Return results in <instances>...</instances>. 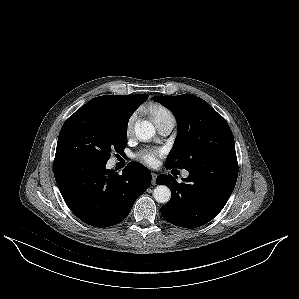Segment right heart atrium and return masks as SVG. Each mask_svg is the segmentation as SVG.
Returning <instances> with one entry per match:
<instances>
[{
	"label": "right heart atrium",
	"instance_id": "right-heart-atrium-1",
	"mask_svg": "<svg viewBox=\"0 0 299 299\" xmlns=\"http://www.w3.org/2000/svg\"><path fill=\"white\" fill-rule=\"evenodd\" d=\"M137 119V113H132L130 115V117L127 120V124H126V132L127 134H131L134 128V124L136 122Z\"/></svg>",
	"mask_w": 299,
	"mask_h": 299
}]
</instances>
